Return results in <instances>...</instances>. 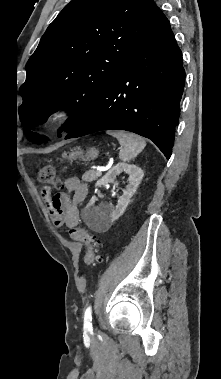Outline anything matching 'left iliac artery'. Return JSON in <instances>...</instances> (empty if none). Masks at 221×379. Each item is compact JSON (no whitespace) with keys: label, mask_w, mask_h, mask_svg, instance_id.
Returning <instances> with one entry per match:
<instances>
[{"label":"left iliac artery","mask_w":221,"mask_h":379,"mask_svg":"<svg viewBox=\"0 0 221 379\" xmlns=\"http://www.w3.org/2000/svg\"><path fill=\"white\" fill-rule=\"evenodd\" d=\"M91 313H92V307L89 306V307H87V309L85 311V317H84V324L87 327H91V325H92L91 324V320H92Z\"/></svg>","instance_id":"obj_1"}]
</instances>
